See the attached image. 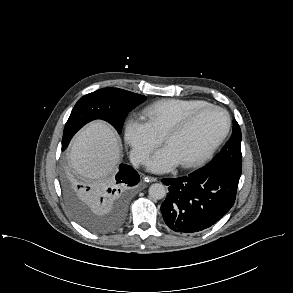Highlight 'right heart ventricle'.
Wrapping results in <instances>:
<instances>
[{
  "instance_id": "1",
  "label": "right heart ventricle",
  "mask_w": 293,
  "mask_h": 293,
  "mask_svg": "<svg viewBox=\"0 0 293 293\" xmlns=\"http://www.w3.org/2000/svg\"><path fill=\"white\" fill-rule=\"evenodd\" d=\"M206 104L209 103L203 100L164 99L145 107L143 114L153 129L163 136L171 125Z\"/></svg>"
}]
</instances>
